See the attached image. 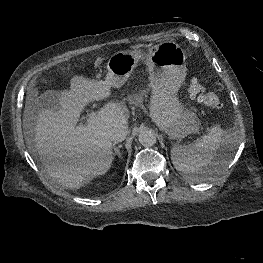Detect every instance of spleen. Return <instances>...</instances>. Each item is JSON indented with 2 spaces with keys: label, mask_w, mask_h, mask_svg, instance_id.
I'll list each match as a JSON object with an SVG mask.
<instances>
[{
  "label": "spleen",
  "mask_w": 263,
  "mask_h": 263,
  "mask_svg": "<svg viewBox=\"0 0 263 263\" xmlns=\"http://www.w3.org/2000/svg\"><path fill=\"white\" fill-rule=\"evenodd\" d=\"M239 144L236 132H225L220 126L212 127L210 132L188 145H174L171 149V160L174 167L185 177L194 181H203L211 176L220 175L229 166L232 152ZM220 147L224 155L215 162L213 171L203 172L212 163Z\"/></svg>",
  "instance_id": "3e777b00"
}]
</instances>
